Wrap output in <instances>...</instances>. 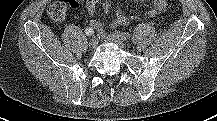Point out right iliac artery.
I'll return each instance as SVG.
<instances>
[{
  "label": "right iliac artery",
  "instance_id": "1",
  "mask_svg": "<svg viewBox=\"0 0 217 121\" xmlns=\"http://www.w3.org/2000/svg\"><path fill=\"white\" fill-rule=\"evenodd\" d=\"M102 37L103 36L100 33L97 34V38L101 39Z\"/></svg>",
  "mask_w": 217,
  "mask_h": 121
}]
</instances>
